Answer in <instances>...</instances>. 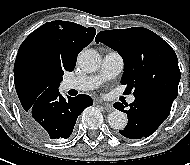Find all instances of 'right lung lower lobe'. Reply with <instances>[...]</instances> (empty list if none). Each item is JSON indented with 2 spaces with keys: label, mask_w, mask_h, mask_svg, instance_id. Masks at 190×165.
<instances>
[{
  "label": "right lung lower lobe",
  "mask_w": 190,
  "mask_h": 165,
  "mask_svg": "<svg viewBox=\"0 0 190 165\" xmlns=\"http://www.w3.org/2000/svg\"><path fill=\"white\" fill-rule=\"evenodd\" d=\"M92 104L88 95L64 98L57 88L41 94L29 109H22L21 114L27 127L39 138L67 139L73 132L77 117Z\"/></svg>",
  "instance_id": "obj_1"
}]
</instances>
